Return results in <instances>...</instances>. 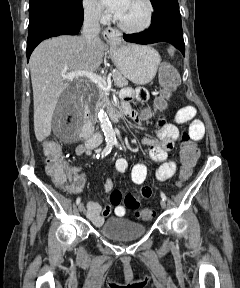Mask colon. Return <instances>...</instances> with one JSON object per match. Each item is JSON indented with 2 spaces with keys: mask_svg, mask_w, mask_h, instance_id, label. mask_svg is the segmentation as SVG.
I'll list each match as a JSON object with an SVG mask.
<instances>
[{
  "mask_svg": "<svg viewBox=\"0 0 240 288\" xmlns=\"http://www.w3.org/2000/svg\"><path fill=\"white\" fill-rule=\"evenodd\" d=\"M179 82V74L177 70L168 63H164L159 69V83L162 87V93L157 99V107L163 109L167 106V101L171 97ZM43 153L45 156V170L53 183L59 187L71 188L72 181L67 169L66 162L61 154L60 145L54 141L46 140L43 143ZM199 150L194 144L189 133L182 134V143L180 146L181 160V178L187 179L197 162ZM140 196L138 193H129L124 198L127 207L137 209ZM135 215L144 220L149 221L155 217V212L149 209L137 210Z\"/></svg>",
  "mask_w": 240,
  "mask_h": 288,
  "instance_id": "colon-1",
  "label": "colon"
}]
</instances>
